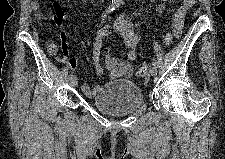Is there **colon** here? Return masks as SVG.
I'll use <instances>...</instances> for the list:
<instances>
[{"label":"colon","mask_w":225,"mask_h":159,"mask_svg":"<svg viewBox=\"0 0 225 159\" xmlns=\"http://www.w3.org/2000/svg\"><path fill=\"white\" fill-rule=\"evenodd\" d=\"M163 41L166 46H169L172 42V34L167 32L163 37ZM148 72H149V65L147 63H144L140 67L138 74L140 77L144 78V77H147Z\"/></svg>","instance_id":"5ec220e1"}]
</instances>
